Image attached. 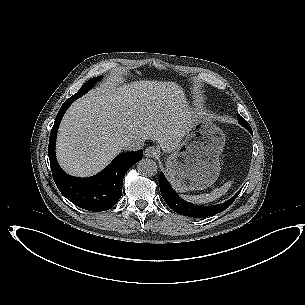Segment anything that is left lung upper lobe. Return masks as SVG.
Instances as JSON below:
<instances>
[{
  "label": "left lung upper lobe",
  "instance_id": "left-lung-upper-lobe-1",
  "mask_svg": "<svg viewBox=\"0 0 305 305\" xmlns=\"http://www.w3.org/2000/svg\"><path fill=\"white\" fill-rule=\"evenodd\" d=\"M238 121L250 133H252V129L246 120H244L241 116H238ZM181 211H182V213H180L181 215L194 217V218L204 217L205 215H203V214L206 213V210H204L202 207L192 205V204H183L181 207Z\"/></svg>",
  "mask_w": 305,
  "mask_h": 305
}]
</instances>
